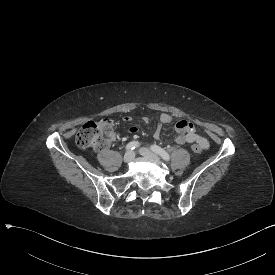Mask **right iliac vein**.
Returning <instances> with one entry per match:
<instances>
[{
	"label": "right iliac vein",
	"instance_id": "obj_1",
	"mask_svg": "<svg viewBox=\"0 0 275 275\" xmlns=\"http://www.w3.org/2000/svg\"><path fill=\"white\" fill-rule=\"evenodd\" d=\"M134 158H135L134 152L128 151L125 153L123 160L125 163H130L131 161L134 160Z\"/></svg>",
	"mask_w": 275,
	"mask_h": 275
}]
</instances>
